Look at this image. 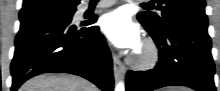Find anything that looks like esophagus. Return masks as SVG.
I'll return each mask as SVG.
<instances>
[{"instance_id": "34e87169", "label": "esophagus", "mask_w": 220, "mask_h": 91, "mask_svg": "<svg viewBox=\"0 0 220 91\" xmlns=\"http://www.w3.org/2000/svg\"><path fill=\"white\" fill-rule=\"evenodd\" d=\"M113 72L116 81L120 80L125 74V66L117 55L113 56Z\"/></svg>"}]
</instances>
